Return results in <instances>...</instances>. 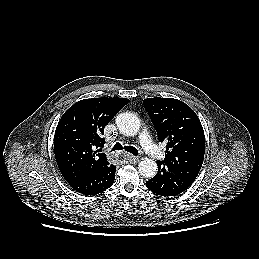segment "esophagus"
I'll list each match as a JSON object with an SVG mask.
<instances>
[{
    "label": "esophagus",
    "instance_id": "1",
    "mask_svg": "<svg viewBox=\"0 0 259 259\" xmlns=\"http://www.w3.org/2000/svg\"><path fill=\"white\" fill-rule=\"evenodd\" d=\"M127 160L130 162V163H137L139 161V158L136 157V156H133L131 154H128L127 155Z\"/></svg>",
    "mask_w": 259,
    "mask_h": 259
}]
</instances>
